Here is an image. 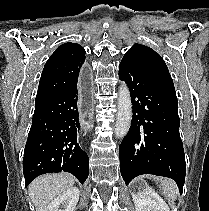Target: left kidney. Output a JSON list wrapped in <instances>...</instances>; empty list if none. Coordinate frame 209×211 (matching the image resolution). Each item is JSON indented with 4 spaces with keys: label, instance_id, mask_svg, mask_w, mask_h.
Instances as JSON below:
<instances>
[{
    "label": "left kidney",
    "instance_id": "5707ae66",
    "mask_svg": "<svg viewBox=\"0 0 209 211\" xmlns=\"http://www.w3.org/2000/svg\"><path fill=\"white\" fill-rule=\"evenodd\" d=\"M136 211H170L165 201L151 187L133 189Z\"/></svg>",
    "mask_w": 209,
    "mask_h": 211
}]
</instances>
